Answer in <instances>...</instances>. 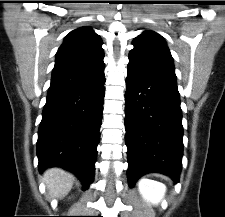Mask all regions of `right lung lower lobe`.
<instances>
[{
  "instance_id": "right-lung-lower-lobe-1",
  "label": "right lung lower lobe",
  "mask_w": 225,
  "mask_h": 217,
  "mask_svg": "<svg viewBox=\"0 0 225 217\" xmlns=\"http://www.w3.org/2000/svg\"><path fill=\"white\" fill-rule=\"evenodd\" d=\"M105 76L87 85L48 91L38 131L39 170L62 167L83 188L91 184L102 122Z\"/></svg>"
}]
</instances>
